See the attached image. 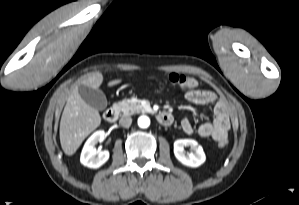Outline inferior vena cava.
Wrapping results in <instances>:
<instances>
[{
	"label": "inferior vena cava",
	"instance_id": "602c4592",
	"mask_svg": "<svg viewBox=\"0 0 299 205\" xmlns=\"http://www.w3.org/2000/svg\"><path fill=\"white\" fill-rule=\"evenodd\" d=\"M119 123L123 127H130V125L132 124V118L129 116H122L119 120Z\"/></svg>",
	"mask_w": 299,
	"mask_h": 205
}]
</instances>
